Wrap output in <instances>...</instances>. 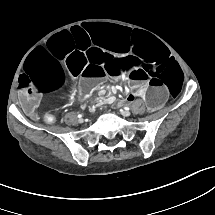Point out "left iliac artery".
<instances>
[{"instance_id":"1","label":"left iliac artery","mask_w":215,"mask_h":215,"mask_svg":"<svg viewBox=\"0 0 215 215\" xmlns=\"http://www.w3.org/2000/svg\"><path fill=\"white\" fill-rule=\"evenodd\" d=\"M125 110H129L130 108L128 106L124 107Z\"/></svg>"}]
</instances>
